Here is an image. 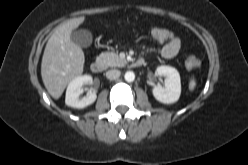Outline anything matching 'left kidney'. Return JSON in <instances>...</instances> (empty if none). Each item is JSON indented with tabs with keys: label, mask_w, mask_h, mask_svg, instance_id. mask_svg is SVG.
I'll list each match as a JSON object with an SVG mask.
<instances>
[{
	"label": "left kidney",
	"mask_w": 248,
	"mask_h": 165,
	"mask_svg": "<svg viewBox=\"0 0 248 165\" xmlns=\"http://www.w3.org/2000/svg\"><path fill=\"white\" fill-rule=\"evenodd\" d=\"M156 72L158 75L166 77V79L165 87L156 85L152 89L155 99L164 104H172L178 101L181 94V82L178 71L170 66H159Z\"/></svg>",
	"instance_id": "5707ae66"
}]
</instances>
